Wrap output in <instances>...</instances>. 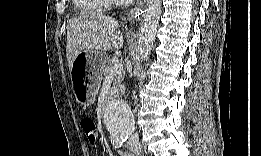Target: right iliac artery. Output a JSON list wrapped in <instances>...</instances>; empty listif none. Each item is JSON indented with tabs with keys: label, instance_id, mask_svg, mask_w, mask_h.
Here are the masks:
<instances>
[{
	"label": "right iliac artery",
	"instance_id": "82829eb1",
	"mask_svg": "<svg viewBox=\"0 0 261 156\" xmlns=\"http://www.w3.org/2000/svg\"><path fill=\"white\" fill-rule=\"evenodd\" d=\"M124 141H125L124 139H113V140H112V144H113L115 147L119 148V147L122 146V144H123Z\"/></svg>",
	"mask_w": 261,
	"mask_h": 156
}]
</instances>
